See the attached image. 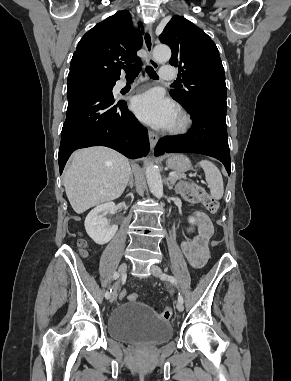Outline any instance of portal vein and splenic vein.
<instances>
[{
    "mask_svg": "<svg viewBox=\"0 0 291 381\" xmlns=\"http://www.w3.org/2000/svg\"><path fill=\"white\" fill-rule=\"evenodd\" d=\"M174 176H175V173H173V172L169 173V178H172Z\"/></svg>",
    "mask_w": 291,
    "mask_h": 381,
    "instance_id": "portal-vein-and-splenic-vein-1",
    "label": "portal vein and splenic vein"
}]
</instances>
